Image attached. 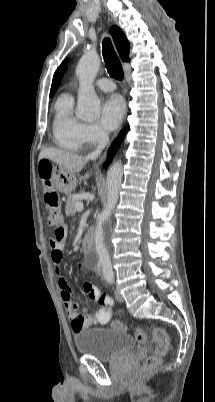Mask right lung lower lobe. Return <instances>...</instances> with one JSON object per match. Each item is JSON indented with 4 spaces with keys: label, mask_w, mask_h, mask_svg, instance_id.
Wrapping results in <instances>:
<instances>
[{
    "label": "right lung lower lobe",
    "mask_w": 215,
    "mask_h": 402,
    "mask_svg": "<svg viewBox=\"0 0 215 402\" xmlns=\"http://www.w3.org/2000/svg\"><path fill=\"white\" fill-rule=\"evenodd\" d=\"M122 140H123V132L116 138V140L113 142V144L109 148L108 159L105 162V166H107L112 161L114 155L116 154L117 150L119 149V147L122 143Z\"/></svg>",
    "instance_id": "obj_1"
}]
</instances>
